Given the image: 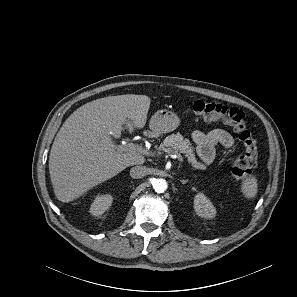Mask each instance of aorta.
Returning <instances> with one entry per match:
<instances>
[{
	"instance_id": "762f6f07",
	"label": "aorta",
	"mask_w": 297,
	"mask_h": 297,
	"mask_svg": "<svg viewBox=\"0 0 297 297\" xmlns=\"http://www.w3.org/2000/svg\"><path fill=\"white\" fill-rule=\"evenodd\" d=\"M153 188L157 193H164L167 189V182L165 179H156L153 183Z\"/></svg>"
}]
</instances>
